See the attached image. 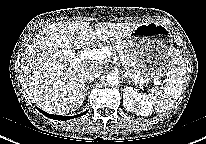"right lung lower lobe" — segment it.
Returning a JSON list of instances; mask_svg holds the SVG:
<instances>
[{
  "instance_id": "obj_1",
  "label": "right lung lower lobe",
  "mask_w": 206,
  "mask_h": 144,
  "mask_svg": "<svg viewBox=\"0 0 206 144\" xmlns=\"http://www.w3.org/2000/svg\"><path fill=\"white\" fill-rule=\"evenodd\" d=\"M38 110L44 114L45 116H47L48 118H51V119H54V120H69V119H72V118H76V117H79V116H82L83 114L87 113L88 111H85L84 113L82 114H78V115H75V116H61V115H54V114H48L42 110H40L38 108Z\"/></svg>"
}]
</instances>
